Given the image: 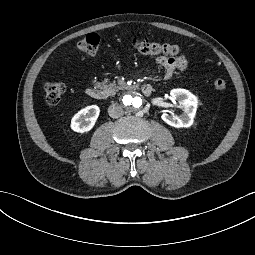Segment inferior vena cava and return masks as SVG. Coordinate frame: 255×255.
I'll list each match as a JSON object with an SVG mask.
<instances>
[{"label":"inferior vena cava","mask_w":255,"mask_h":255,"mask_svg":"<svg viewBox=\"0 0 255 255\" xmlns=\"http://www.w3.org/2000/svg\"><path fill=\"white\" fill-rule=\"evenodd\" d=\"M109 116L112 118H118L123 115V109L118 103H112L108 108Z\"/></svg>","instance_id":"inferior-vena-cava-1"}]
</instances>
